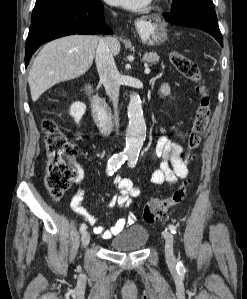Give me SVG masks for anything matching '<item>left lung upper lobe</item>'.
<instances>
[{"instance_id":"obj_1","label":"left lung upper lobe","mask_w":247,"mask_h":299,"mask_svg":"<svg viewBox=\"0 0 247 299\" xmlns=\"http://www.w3.org/2000/svg\"><path fill=\"white\" fill-rule=\"evenodd\" d=\"M189 3H196L204 7L214 9V4L212 0H173L171 10H176L179 7Z\"/></svg>"}]
</instances>
